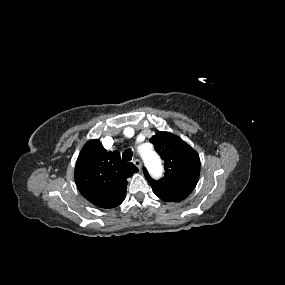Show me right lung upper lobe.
Masks as SVG:
<instances>
[{"label":"right lung upper lobe","instance_id":"obj_1","mask_svg":"<svg viewBox=\"0 0 285 285\" xmlns=\"http://www.w3.org/2000/svg\"><path fill=\"white\" fill-rule=\"evenodd\" d=\"M136 172L134 164L121 161L118 151L108 153L95 139L82 148L74 177L78 190L89 202L101 208H114L123 202L127 178Z\"/></svg>","mask_w":285,"mask_h":285}]
</instances>
